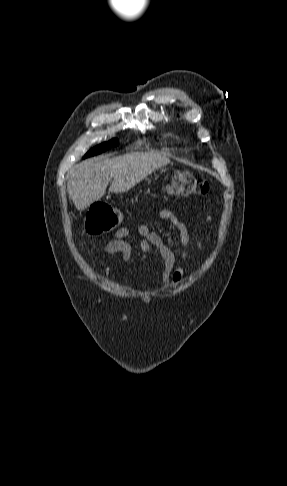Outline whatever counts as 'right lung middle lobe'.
Segmentation results:
<instances>
[{
    "mask_svg": "<svg viewBox=\"0 0 287 486\" xmlns=\"http://www.w3.org/2000/svg\"><path fill=\"white\" fill-rule=\"evenodd\" d=\"M110 144L113 146H117L119 144V141L117 139H113L110 142L103 143L95 148H93L91 151H89L84 158L94 156L96 154H99L105 150H107L110 147Z\"/></svg>",
    "mask_w": 287,
    "mask_h": 486,
    "instance_id": "obj_1",
    "label": "right lung middle lobe"
}]
</instances>
